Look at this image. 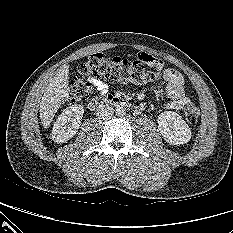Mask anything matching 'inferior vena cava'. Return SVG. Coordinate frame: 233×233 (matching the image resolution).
<instances>
[{
  "mask_svg": "<svg viewBox=\"0 0 233 233\" xmlns=\"http://www.w3.org/2000/svg\"><path fill=\"white\" fill-rule=\"evenodd\" d=\"M114 113L113 107L101 104L96 110V115L101 119L110 118Z\"/></svg>",
  "mask_w": 233,
  "mask_h": 233,
  "instance_id": "inferior-vena-cava-1",
  "label": "inferior vena cava"
}]
</instances>
